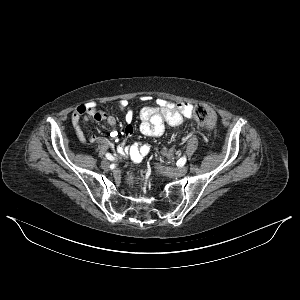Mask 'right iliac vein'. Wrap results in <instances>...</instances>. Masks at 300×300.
I'll return each instance as SVG.
<instances>
[{
  "mask_svg": "<svg viewBox=\"0 0 300 300\" xmlns=\"http://www.w3.org/2000/svg\"><path fill=\"white\" fill-rule=\"evenodd\" d=\"M101 166H102L104 169L108 170V169L110 168V163H109V161H107V160H103V161L101 162Z\"/></svg>",
  "mask_w": 300,
  "mask_h": 300,
  "instance_id": "obj_1",
  "label": "right iliac vein"
}]
</instances>
